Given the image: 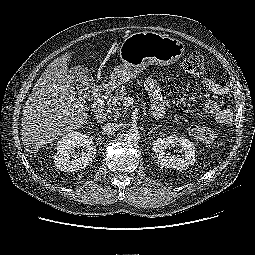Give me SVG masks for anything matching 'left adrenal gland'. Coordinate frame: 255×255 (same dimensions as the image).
<instances>
[{
    "label": "left adrenal gland",
    "mask_w": 255,
    "mask_h": 255,
    "mask_svg": "<svg viewBox=\"0 0 255 255\" xmlns=\"http://www.w3.org/2000/svg\"><path fill=\"white\" fill-rule=\"evenodd\" d=\"M157 127L152 128V130L149 131V133H152L153 130H155Z\"/></svg>",
    "instance_id": "obj_1"
}]
</instances>
